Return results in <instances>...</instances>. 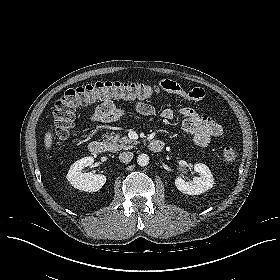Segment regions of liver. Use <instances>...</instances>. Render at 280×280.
<instances>
[{"label":"liver","instance_id":"liver-1","mask_svg":"<svg viewBox=\"0 0 280 280\" xmlns=\"http://www.w3.org/2000/svg\"><path fill=\"white\" fill-rule=\"evenodd\" d=\"M52 137L53 135L50 132H47L45 134L44 144L47 150L50 149L52 146Z\"/></svg>","mask_w":280,"mask_h":280}]
</instances>
